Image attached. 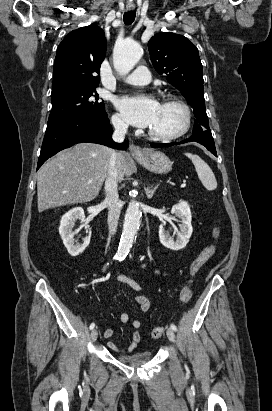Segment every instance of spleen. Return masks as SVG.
I'll return each mask as SVG.
<instances>
[{
    "instance_id": "1",
    "label": "spleen",
    "mask_w": 272,
    "mask_h": 411,
    "mask_svg": "<svg viewBox=\"0 0 272 411\" xmlns=\"http://www.w3.org/2000/svg\"><path fill=\"white\" fill-rule=\"evenodd\" d=\"M185 155L192 161L198 177L204 187L210 191L215 190L217 188V181L208 164L196 154L185 153Z\"/></svg>"
}]
</instances>
